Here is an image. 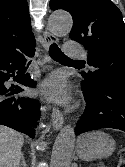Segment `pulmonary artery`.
I'll use <instances>...</instances> for the list:
<instances>
[{
    "label": "pulmonary artery",
    "instance_id": "pulmonary-artery-1",
    "mask_svg": "<svg viewBox=\"0 0 125 167\" xmlns=\"http://www.w3.org/2000/svg\"><path fill=\"white\" fill-rule=\"evenodd\" d=\"M67 56L75 59L82 58L84 56L83 51L78 47L77 42L68 40L65 44Z\"/></svg>",
    "mask_w": 125,
    "mask_h": 167
}]
</instances>
